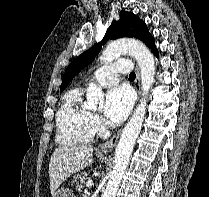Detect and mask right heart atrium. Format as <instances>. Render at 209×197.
I'll list each match as a JSON object with an SVG mask.
<instances>
[{
  "instance_id": "1",
  "label": "right heart atrium",
  "mask_w": 209,
  "mask_h": 197,
  "mask_svg": "<svg viewBox=\"0 0 209 197\" xmlns=\"http://www.w3.org/2000/svg\"><path fill=\"white\" fill-rule=\"evenodd\" d=\"M92 125L95 131H99L102 128V120L99 115L92 114Z\"/></svg>"
}]
</instances>
